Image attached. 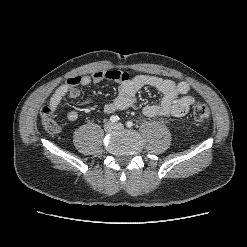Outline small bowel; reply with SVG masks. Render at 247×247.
I'll return each mask as SVG.
<instances>
[{
    "label": "small bowel",
    "mask_w": 247,
    "mask_h": 247,
    "mask_svg": "<svg viewBox=\"0 0 247 247\" xmlns=\"http://www.w3.org/2000/svg\"><path fill=\"white\" fill-rule=\"evenodd\" d=\"M100 82H112L118 85V96L103 108L104 113L112 114L123 111L135 103V96L139 90L145 87L156 89L162 94L158 104H149L143 108L147 117H182L186 115L195 99L189 94L190 86L187 82L176 83L169 79H163L152 75H136L131 77L126 72L118 70L97 71L92 75L73 76L66 83L59 86L49 100V106L55 111L63 99H76L81 95L79 87L98 84ZM92 98L83 100V104H90ZM66 119L74 122L78 119V113L74 110L67 112ZM58 126V124H57ZM57 131L51 133H57Z\"/></svg>",
    "instance_id": "small-bowel-1"
}]
</instances>
